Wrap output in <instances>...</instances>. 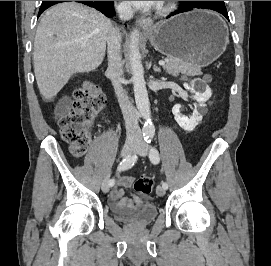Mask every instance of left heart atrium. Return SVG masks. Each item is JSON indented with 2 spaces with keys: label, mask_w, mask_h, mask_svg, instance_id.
Instances as JSON below:
<instances>
[{
  "label": "left heart atrium",
  "mask_w": 271,
  "mask_h": 266,
  "mask_svg": "<svg viewBox=\"0 0 271 266\" xmlns=\"http://www.w3.org/2000/svg\"><path fill=\"white\" fill-rule=\"evenodd\" d=\"M161 1H127L130 5L138 9H150L158 5Z\"/></svg>",
  "instance_id": "1"
}]
</instances>
